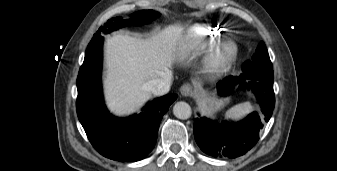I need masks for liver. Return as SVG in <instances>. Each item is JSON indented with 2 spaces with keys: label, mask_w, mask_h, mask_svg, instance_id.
<instances>
[{
  "label": "liver",
  "mask_w": 337,
  "mask_h": 171,
  "mask_svg": "<svg viewBox=\"0 0 337 171\" xmlns=\"http://www.w3.org/2000/svg\"><path fill=\"white\" fill-rule=\"evenodd\" d=\"M181 32L180 26H169L148 39L123 34L107 38L104 84L112 112L131 114L151 98L146 84L171 73L170 68L180 54Z\"/></svg>",
  "instance_id": "1"
}]
</instances>
